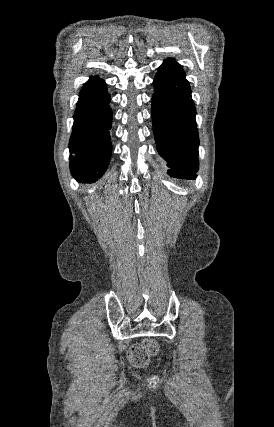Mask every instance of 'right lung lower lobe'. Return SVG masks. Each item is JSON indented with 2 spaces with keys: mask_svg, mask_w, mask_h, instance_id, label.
<instances>
[{
  "mask_svg": "<svg viewBox=\"0 0 274 427\" xmlns=\"http://www.w3.org/2000/svg\"><path fill=\"white\" fill-rule=\"evenodd\" d=\"M109 102L106 85L97 76L79 94L69 143L70 170L79 182H95L107 169L111 157Z\"/></svg>",
  "mask_w": 274,
  "mask_h": 427,
  "instance_id": "1",
  "label": "right lung lower lobe"
}]
</instances>
